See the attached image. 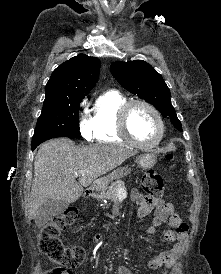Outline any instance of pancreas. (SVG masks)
I'll return each instance as SVG.
<instances>
[{
	"instance_id": "pancreas-1",
	"label": "pancreas",
	"mask_w": 221,
	"mask_h": 274,
	"mask_svg": "<svg viewBox=\"0 0 221 274\" xmlns=\"http://www.w3.org/2000/svg\"><path fill=\"white\" fill-rule=\"evenodd\" d=\"M120 192L125 193V183L121 180L112 183L108 191L106 193L100 194L98 198L115 201L118 198Z\"/></svg>"
}]
</instances>
